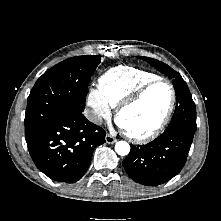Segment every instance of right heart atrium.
<instances>
[{"label": "right heart atrium", "mask_w": 221, "mask_h": 221, "mask_svg": "<svg viewBox=\"0 0 221 221\" xmlns=\"http://www.w3.org/2000/svg\"><path fill=\"white\" fill-rule=\"evenodd\" d=\"M87 105L90 108V120L94 124H100L110 117V106L102 98L96 89H90L87 95Z\"/></svg>", "instance_id": "obj_1"}]
</instances>
